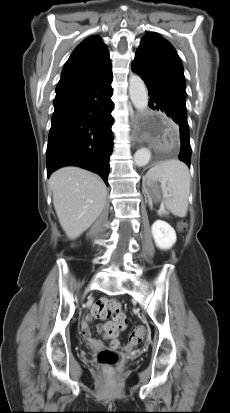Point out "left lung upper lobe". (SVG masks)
<instances>
[{
	"label": "left lung upper lobe",
	"instance_id": "5c2ea615",
	"mask_svg": "<svg viewBox=\"0 0 230 413\" xmlns=\"http://www.w3.org/2000/svg\"><path fill=\"white\" fill-rule=\"evenodd\" d=\"M136 53H142L161 64L185 86L181 60L172 45L157 33L146 34Z\"/></svg>",
	"mask_w": 230,
	"mask_h": 413
}]
</instances>
